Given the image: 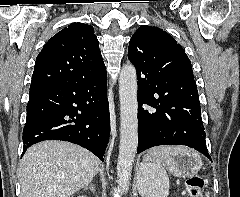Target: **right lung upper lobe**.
<instances>
[{"mask_svg":"<svg viewBox=\"0 0 240 197\" xmlns=\"http://www.w3.org/2000/svg\"><path fill=\"white\" fill-rule=\"evenodd\" d=\"M105 72L93 27L72 23L44 45L37 56L30 88L53 81H81Z\"/></svg>","mask_w":240,"mask_h":197,"instance_id":"1","label":"right lung upper lobe"}]
</instances>
